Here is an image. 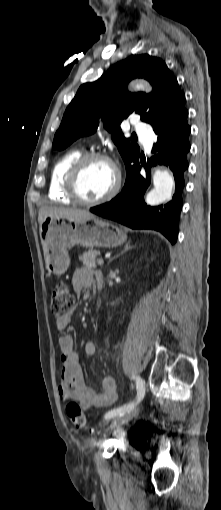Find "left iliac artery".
Instances as JSON below:
<instances>
[{
    "label": "left iliac artery",
    "instance_id": "1",
    "mask_svg": "<svg viewBox=\"0 0 221 510\" xmlns=\"http://www.w3.org/2000/svg\"><path fill=\"white\" fill-rule=\"evenodd\" d=\"M132 379L136 381V387H137V398L135 402H131L128 404H124L118 408H114L110 411H108L105 414L106 419H111L113 417L121 416L125 414L126 412L130 411L135 407L136 404H138L145 395V387L144 383L141 381V378L139 376L132 375Z\"/></svg>",
    "mask_w": 221,
    "mask_h": 510
}]
</instances>
